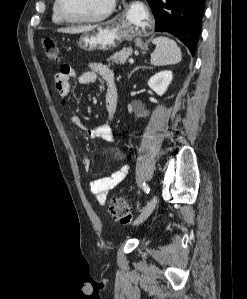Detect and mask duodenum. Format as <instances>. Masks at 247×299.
Returning a JSON list of instances; mask_svg holds the SVG:
<instances>
[{
  "label": "duodenum",
  "instance_id": "1",
  "mask_svg": "<svg viewBox=\"0 0 247 299\" xmlns=\"http://www.w3.org/2000/svg\"><path fill=\"white\" fill-rule=\"evenodd\" d=\"M108 112H109L110 115H113L115 113V108L113 106H110L108 108Z\"/></svg>",
  "mask_w": 247,
  "mask_h": 299
}]
</instances>
